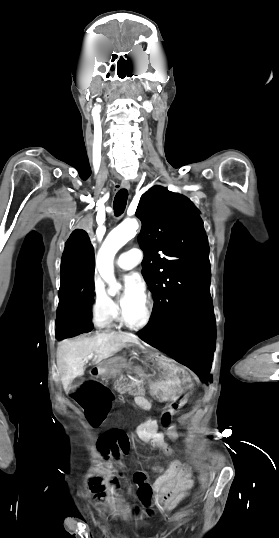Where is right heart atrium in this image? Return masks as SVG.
<instances>
[{"mask_svg": "<svg viewBox=\"0 0 279 538\" xmlns=\"http://www.w3.org/2000/svg\"><path fill=\"white\" fill-rule=\"evenodd\" d=\"M93 320L96 326L104 327L110 324L119 313V306L106 292L102 284L94 279Z\"/></svg>", "mask_w": 279, "mask_h": 538, "instance_id": "obj_1", "label": "right heart atrium"}]
</instances>
